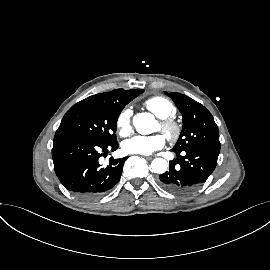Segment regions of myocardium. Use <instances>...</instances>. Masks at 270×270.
Returning <instances> with one entry per match:
<instances>
[{
	"mask_svg": "<svg viewBox=\"0 0 270 270\" xmlns=\"http://www.w3.org/2000/svg\"><path fill=\"white\" fill-rule=\"evenodd\" d=\"M160 130L171 142H176L182 133L181 125L172 117L161 119L159 122Z\"/></svg>",
	"mask_w": 270,
	"mask_h": 270,
	"instance_id": "myocardium-1",
	"label": "myocardium"
}]
</instances>
